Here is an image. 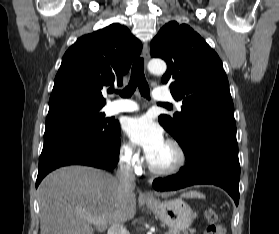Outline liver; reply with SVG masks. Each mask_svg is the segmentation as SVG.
<instances>
[{"instance_id": "liver-1", "label": "liver", "mask_w": 279, "mask_h": 234, "mask_svg": "<svg viewBox=\"0 0 279 234\" xmlns=\"http://www.w3.org/2000/svg\"><path fill=\"white\" fill-rule=\"evenodd\" d=\"M38 193L40 234H93L85 215L102 218L104 224L94 225L103 231L136 213L134 188L126 189L116 177L91 167L60 168L44 178Z\"/></svg>"}]
</instances>
